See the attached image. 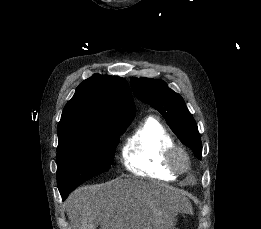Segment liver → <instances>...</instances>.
Instances as JSON below:
<instances>
[{
    "instance_id": "liver-1",
    "label": "liver",
    "mask_w": 261,
    "mask_h": 229,
    "mask_svg": "<svg viewBox=\"0 0 261 229\" xmlns=\"http://www.w3.org/2000/svg\"><path fill=\"white\" fill-rule=\"evenodd\" d=\"M165 187L133 179L79 187L66 201L73 229H165L166 213L158 203ZM178 211L187 207L186 193L177 191Z\"/></svg>"
}]
</instances>
